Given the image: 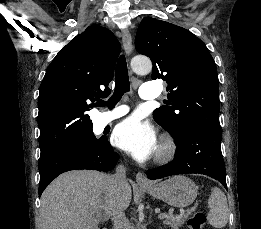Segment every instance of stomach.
<instances>
[{
  "label": "stomach",
  "instance_id": "1",
  "mask_svg": "<svg viewBox=\"0 0 261 229\" xmlns=\"http://www.w3.org/2000/svg\"><path fill=\"white\" fill-rule=\"evenodd\" d=\"M145 191L159 201H164L171 207H189L197 197V187L191 179L177 175L153 187H144Z\"/></svg>",
  "mask_w": 261,
  "mask_h": 229
}]
</instances>
